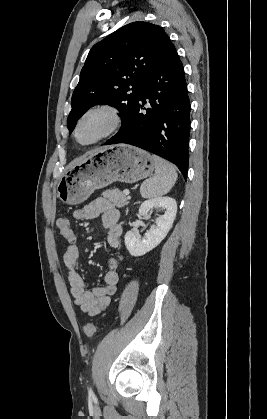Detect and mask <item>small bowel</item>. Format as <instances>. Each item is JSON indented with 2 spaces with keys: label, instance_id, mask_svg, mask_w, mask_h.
Listing matches in <instances>:
<instances>
[{
  "label": "small bowel",
  "instance_id": "small-bowel-1",
  "mask_svg": "<svg viewBox=\"0 0 267 419\" xmlns=\"http://www.w3.org/2000/svg\"><path fill=\"white\" fill-rule=\"evenodd\" d=\"M77 220L92 219L101 216L102 226L107 229V243L111 250H116L120 245L122 228L118 223L119 211L106 198L98 197L73 213ZM63 261L67 269V278L74 303L89 316H96L106 311L110 306L111 297L116 293L119 276L118 265L123 261L122 256L111 257L108 260V269L104 275V285L86 288L84 278L77 271L79 249L75 241L69 242Z\"/></svg>",
  "mask_w": 267,
  "mask_h": 419
}]
</instances>
